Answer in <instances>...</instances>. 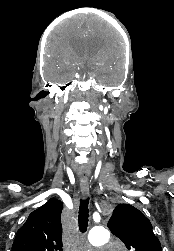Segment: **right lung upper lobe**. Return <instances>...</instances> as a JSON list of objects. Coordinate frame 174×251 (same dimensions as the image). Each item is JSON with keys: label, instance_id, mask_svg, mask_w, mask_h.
Instances as JSON below:
<instances>
[{"label": "right lung upper lobe", "instance_id": "obj_1", "mask_svg": "<svg viewBox=\"0 0 174 251\" xmlns=\"http://www.w3.org/2000/svg\"><path fill=\"white\" fill-rule=\"evenodd\" d=\"M62 202L51 198L18 230L12 251H62Z\"/></svg>", "mask_w": 174, "mask_h": 251}]
</instances>
